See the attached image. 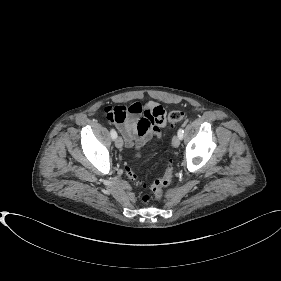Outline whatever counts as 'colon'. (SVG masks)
Listing matches in <instances>:
<instances>
[{
  "mask_svg": "<svg viewBox=\"0 0 281 281\" xmlns=\"http://www.w3.org/2000/svg\"><path fill=\"white\" fill-rule=\"evenodd\" d=\"M138 106H139L138 103H134L129 107L121 105V106H116L115 108H107L106 114H107V117L113 122H123L129 113L138 111ZM184 116H185L184 112L179 111V110H174V111L170 112V114L168 116V120L171 124L175 125V124L182 122L184 119ZM140 156H141L140 153L136 154L137 158ZM173 170L174 169H173L172 162L169 161L167 170H166L165 174L163 175V177H161L159 179H155L150 185L147 186L138 178L137 174L131 168L130 165L125 166V173L128 176V178L139 186H142L144 188L148 187L152 191L153 197L157 200H160L163 197L164 188L169 186L170 183L172 182ZM150 199H151V196L148 194H144L141 197V200L143 203L149 202Z\"/></svg>",
  "mask_w": 281,
  "mask_h": 281,
  "instance_id": "colon-1",
  "label": "colon"
}]
</instances>
